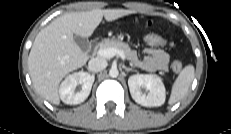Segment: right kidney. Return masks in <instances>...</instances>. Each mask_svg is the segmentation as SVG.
<instances>
[{
  "mask_svg": "<svg viewBox=\"0 0 231 134\" xmlns=\"http://www.w3.org/2000/svg\"><path fill=\"white\" fill-rule=\"evenodd\" d=\"M94 80V75H90L83 71L70 74L60 85V99L65 104L70 105L82 103L89 96ZM77 85H82V89L75 93Z\"/></svg>",
  "mask_w": 231,
  "mask_h": 134,
  "instance_id": "obj_1",
  "label": "right kidney"
}]
</instances>
